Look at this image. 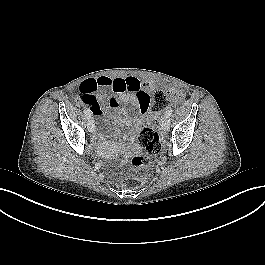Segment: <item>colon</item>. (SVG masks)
Listing matches in <instances>:
<instances>
[{
    "label": "colon",
    "instance_id": "1",
    "mask_svg": "<svg viewBox=\"0 0 265 265\" xmlns=\"http://www.w3.org/2000/svg\"><path fill=\"white\" fill-rule=\"evenodd\" d=\"M181 93L178 89L169 87L167 89H158L153 93L150 108L159 112L170 103L172 98H178ZM138 146L145 154H136L130 160V171L120 179V185L125 188H138L146 180V168L151 163L150 155L160 150V138L156 131L151 128H143L137 138Z\"/></svg>",
    "mask_w": 265,
    "mask_h": 265
}]
</instances>
